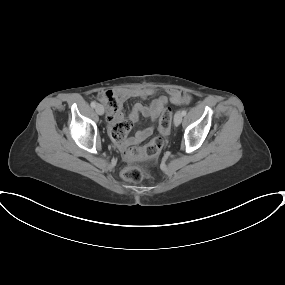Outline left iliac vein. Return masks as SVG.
<instances>
[{
  "mask_svg": "<svg viewBox=\"0 0 285 285\" xmlns=\"http://www.w3.org/2000/svg\"><path fill=\"white\" fill-rule=\"evenodd\" d=\"M183 119V115L180 111H177L174 116V124L176 126L180 125Z\"/></svg>",
  "mask_w": 285,
  "mask_h": 285,
  "instance_id": "1",
  "label": "left iliac vein"
}]
</instances>
